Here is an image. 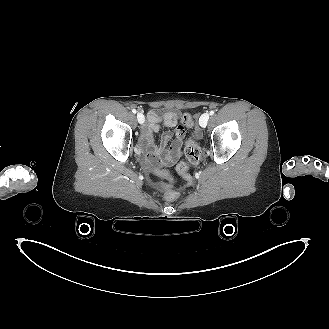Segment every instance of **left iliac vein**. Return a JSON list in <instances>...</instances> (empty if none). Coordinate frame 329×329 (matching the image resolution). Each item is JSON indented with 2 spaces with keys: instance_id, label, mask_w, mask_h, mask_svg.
I'll list each match as a JSON object with an SVG mask.
<instances>
[{
  "instance_id": "4c4485c4",
  "label": "left iliac vein",
  "mask_w": 329,
  "mask_h": 329,
  "mask_svg": "<svg viewBox=\"0 0 329 329\" xmlns=\"http://www.w3.org/2000/svg\"><path fill=\"white\" fill-rule=\"evenodd\" d=\"M208 120H209V114L208 113L202 114L199 119L200 126L205 128L207 126Z\"/></svg>"
}]
</instances>
